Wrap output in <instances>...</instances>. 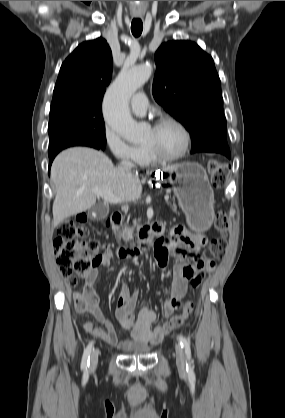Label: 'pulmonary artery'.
<instances>
[{"instance_id": "pulmonary-artery-1", "label": "pulmonary artery", "mask_w": 285, "mask_h": 418, "mask_svg": "<svg viewBox=\"0 0 285 418\" xmlns=\"http://www.w3.org/2000/svg\"><path fill=\"white\" fill-rule=\"evenodd\" d=\"M130 107L134 114L142 115L148 108V101L143 93L135 94L130 101Z\"/></svg>"}]
</instances>
